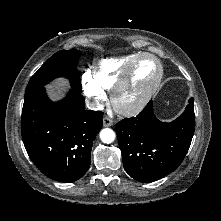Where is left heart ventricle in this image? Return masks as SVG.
<instances>
[{"mask_svg": "<svg viewBox=\"0 0 221 221\" xmlns=\"http://www.w3.org/2000/svg\"><path fill=\"white\" fill-rule=\"evenodd\" d=\"M158 75V65L151 58L142 59L135 68L131 84L124 93L122 101L133 103L154 83Z\"/></svg>", "mask_w": 221, "mask_h": 221, "instance_id": "1", "label": "left heart ventricle"}]
</instances>
